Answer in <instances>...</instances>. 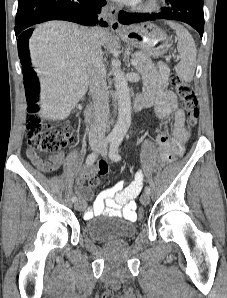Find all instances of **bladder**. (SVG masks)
<instances>
[{
    "label": "bladder",
    "instance_id": "31cf9c89",
    "mask_svg": "<svg viewBox=\"0 0 227 298\" xmlns=\"http://www.w3.org/2000/svg\"><path fill=\"white\" fill-rule=\"evenodd\" d=\"M85 231L91 240L106 243L134 237L137 225L122 218L91 219L87 221Z\"/></svg>",
    "mask_w": 227,
    "mask_h": 298
}]
</instances>
